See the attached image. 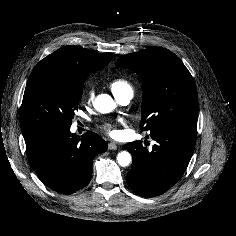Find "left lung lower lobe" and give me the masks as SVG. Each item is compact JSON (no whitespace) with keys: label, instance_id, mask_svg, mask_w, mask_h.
I'll return each instance as SVG.
<instances>
[{"label":"left lung lower lobe","instance_id":"0a47b994","mask_svg":"<svg viewBox=\"0 0 236 236\" xmlns=\"http://www.w3.org/2000/svg\"><path fill=\"white\" fill-rule=\"evenodd\" d=\"M196 134V127L168 125L150 131V137L156 141L150 151L140 140L124 145L133 157L126 176L128 185L146 198L166 192L184 174L194 151Z\"/></svg>","mask_w":236,"mask_h":236}]
</instances>
